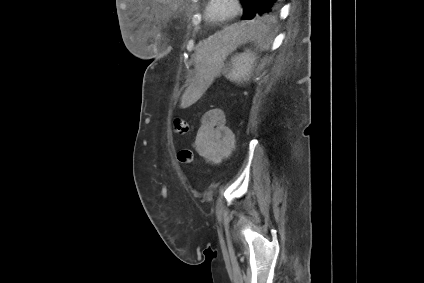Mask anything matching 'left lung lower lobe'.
<instances>
[{"instance_id":"left-lung-lower-lobe-1","label":"left lung lower lobe","mask_w":424,"mask_h":283,"mask_svg":"<svg viewBox=\"0 0 424 283\" xmlns=\"http://www.w3.org/2000/svg\"><path fill=\"white\" fill-rule=\"evenodd\" d=\"M278 5V0H261L256 10V16L270 14L277 10Z\"/></svg>"}]
</instances>
